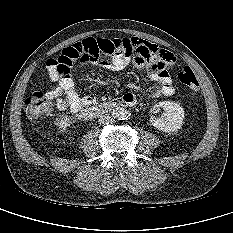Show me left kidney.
Segmentation results:
<instances>
[{
  "mask_svg": "<svg viewBox=\"0 0 233 233\" xmlns=\"http://www.w3.org/2000/svg\"><path fill=\"white\" fill-rule=\"evenodd\" d=\"M160 108L165 111L163 117L154 115L150 118L152 126L163 132H173L181 128L184 119V109L177 103L171 101L158 102L152 109L156 113Z\"/></svg>",
  "mask_w": 233,
  "mask_h": 233,
  "instance_id": "1",
  "label": "left kidney"
}]
</instances>
